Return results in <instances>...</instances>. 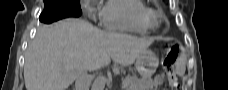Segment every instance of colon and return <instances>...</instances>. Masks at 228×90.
I'll return each instance as SVG.
<instances>
[{"label":"colon","instance_id":"obj_1","mask_svg":"<svg viewBox=\"0 0 228 90\" xmlns=\"http://www.w3.org/2000/svg\"><path fill=\"white\" fill-rule=\"evenodd\" d=\"M179 54V49L177 45H171L170 47L167 48L164 56V67L166 71V75L168 78L169 82V87L171 90H180L176 74L174 72V63L178 57Z\"/></svg>","mask_w":228,"mask_h":90}]
</instances>
